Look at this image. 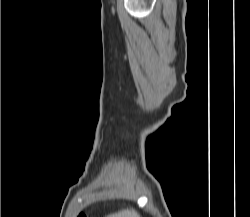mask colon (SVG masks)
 I'll use <instances>...</instances> for the list:
<instances>
[{
  "label": "colon",
  "mask_w": 250,
  "mask_h": 217,
  "mask_svg": "<svg viewBox=\"0 0 250 217\" xmlns=\"http://www.w3.org/2000/svg\"><path fill=\"white\" fill-rule=\"evenodd\" d=\"M78 217H87L85 214H83V213H80L79 215H78Z\"/></svg>",
  "instance_id": "1"
}]
</instances>
